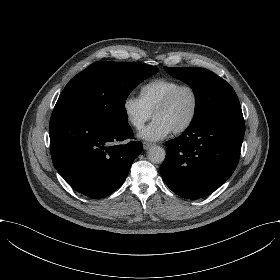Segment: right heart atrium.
I'll list each match as a JSON object with an SVG mask.
<instances>
[{
	"mask_svg": "<svg viewBox=\"0 0 280 280\" xmlns=\"http://www.w3.org/2000/svg\"><path fill=\"white\" fill-rule=\"evenodd\" d=\"M122 112L125 120L135 130H141L151 117V113L146 109L140 99L132 96L124 98Z\"/></svg>",
	"mask_w": 280,
	"mask_h": 280,
	"instance_id": "obj_1",
	"label": "right heart atrium"
}]
</instances>
